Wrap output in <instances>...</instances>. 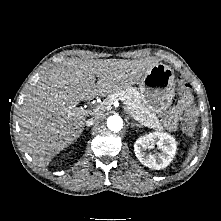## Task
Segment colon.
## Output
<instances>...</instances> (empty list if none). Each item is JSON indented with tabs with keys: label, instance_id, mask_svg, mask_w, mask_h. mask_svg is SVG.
I'll list each match as a JSON object with an SVG mask.
<instances>
[{
	"label": "colon",
	"instance_id": "1",
	"mask_svg": "<svg viewBox=\"0 0 221 221\" xmlns=\"http://www.w3.org/2000/svg\"><path fill=\"white\" fill-rule=\"evenodd\" d=\"M177 85L182 97L186 99L191 98L190 85L186 83L181 76L177 77ZM182 130L187 135H192L195 127V114L193 112H187L182 118L181 122Z\"/></svg>",
	"mask_w": 221,
	"mask_h": 221
}]
</instances>
